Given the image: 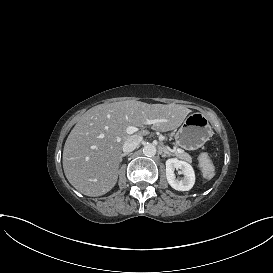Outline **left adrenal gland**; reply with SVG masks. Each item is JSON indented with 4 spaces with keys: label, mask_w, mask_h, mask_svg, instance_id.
<instances>
[{
    "label": "left adrenal gland",
    "mask_w": 273,
    "mask_h": 273,
    "mask_svg": "<svg viewBox=\"0 0 273 273\" xmlns=\"http://www.w3.org/2000/svg\"><path fill=\"white\" fill-rule=\"evenodd\" d=\"M160 153H161V156H162V157L170 156V155L174 156L173 153L168 152V150H167L166 147H161V148H160Z\"/></svg>",
    "instance_id": "a2214340"
}]
</instances>
